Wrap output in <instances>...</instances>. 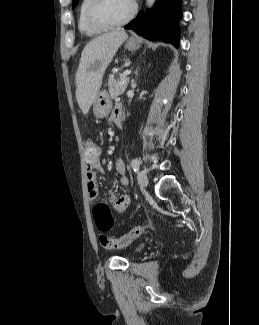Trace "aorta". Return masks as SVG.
<instances>
[{"mask_svg":"<svg viewBox=\"0 0 259 325\" xmlns=\"http://www.w3.org/2000/svg\"><path fill=\"white\" fill-rule=\"evenodd\" d=\"M156 0H146V4L148 7H152Z\"/></svg>","mask_w":259,"mask_h":325,"instance_id":"1","label":"aorta"}]
</instances>
